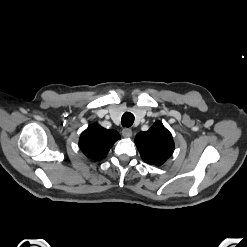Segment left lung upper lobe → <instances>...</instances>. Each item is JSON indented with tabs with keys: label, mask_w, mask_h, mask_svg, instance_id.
I'll return each mask as SVG.
<instances>
[{
	"label": "left lung upper lobe",
	"mask_w": 247,
	"mask_h": 247,
	"mask_svg": "<svg viewBox=\"0 0 247 247\" xmlns=\"http://www.w3.org/2000/svg\"><path fill=\"white\" fill-rule=\"evenodd\" d=\"M135 144L146 163L158 166L162 165L174 151L172 135L160 121L148 131L138 133Z\"/></svg>",
	"instance_id": "1"
}]
</instances>
